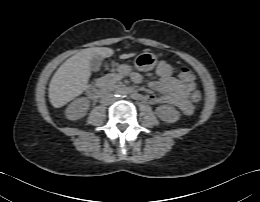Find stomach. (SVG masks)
I'll return each mask as SVG.
<instances>
[{
  "instance_id": "0dacf381",
  "label": "stomach",
  "mask_w": 260,
  "mask_h": 202,
  "mask_svg": "<svg viewBox=\"0 0 260 202\" xmlns=\"http://www.w3.org/2000/svg\"><path fill=\"white\" fill-rule=\"evenodd\" d=\"M157 64V57L155 54L150 52H144L139 54L135 60L134 65L135 68L139 71H151ZM131 68L127 64H123L119 67V71L122 74H127L130 72Z\"/></svg>"
}]
</instances>
